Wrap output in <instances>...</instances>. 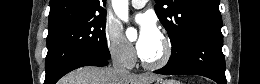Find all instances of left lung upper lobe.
Segmentation results:
<instances>
[{"instance_id": "obj_1", "label": "left lung upper lobe", "mask_w": 260, "mask_h": 84, "mask_svg": "<svg viewBox=\"0 0 260 84\" xmlns=\"http://www.w3.org/2000/svg\"><path fill=\"white\" fill-rule=\"evenodd\" d=\"M155 12L168 32L175 59L193 35L221 30L220 0H155Z\"/></svg>"}]
</instances>
